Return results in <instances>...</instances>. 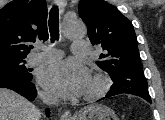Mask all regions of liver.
<instances>
[{"label": "liver", "mask_w": 165, "mask_h": 120, "mask_svg": "<svg viewBox=\"0 0 165 120\" xmlns=\"http://www.w3.org/2000/svg\"><path fill=\"white\" fill-rule=\"evenodd\" d=\"M41 112L21 95L0 88V120H39Z\"/></svg>", "instance_id": "1"}]
</instances>
